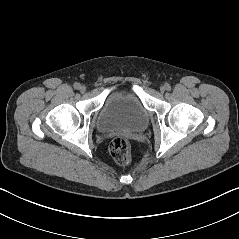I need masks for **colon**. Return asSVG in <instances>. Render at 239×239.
<instances>
[{
    "label": "colon",
    "instance_id": "5ec220e1",
    "mask_svg": "<svg viewBox=\"0 0 239 239\" xmlns=\"http://www.w3.org/2000/svg\"><path fill=\"white\" fill-rule=\"evenodd\" d=\"M110 153L114 161L119 165H127L132 158L129 142L121 137L113 139L110 144Z\"/></svg>",
    "mask_w": 239,
    "mask_h": 239
}]
</instances>
